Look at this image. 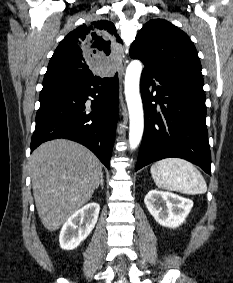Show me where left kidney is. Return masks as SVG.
<instances>
[{
  "mask_svg": "<svg viewBox=\"0 0 233 283\" xmlns=\"http://www.w3.org/2000/svg\"><path fill=\"white\" fill-rule=\"evenodd\" d=\"M144 202L154 219L167 228L179 227L193 207L192 200L159 190L149 191Z\"/></svg>",
  "mask_w": 233,
  "mask_h": 283,
  "instance_id": "obj_1",
  "label": "left kidney"
}]
</instances>
